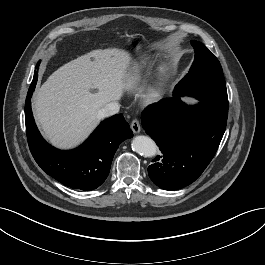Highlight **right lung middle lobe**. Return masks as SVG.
<instances>
[{"label": "right lung middle lobe", "instance_id": "obj_1", "mask_svg": "<svg viewBox=\"0 0 265 265\" xmlns=\"http://www.w3.org/2000/svg\"><path fill=\"white\" fill-rule=\"evenodd\" d=\"M34 78H35V82L37 83V76H34ZM31 86V85H30Z\"/></svg>", "mask_w": 265, "mask_h": 265}]
</instances>
